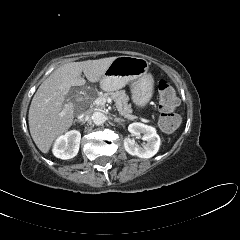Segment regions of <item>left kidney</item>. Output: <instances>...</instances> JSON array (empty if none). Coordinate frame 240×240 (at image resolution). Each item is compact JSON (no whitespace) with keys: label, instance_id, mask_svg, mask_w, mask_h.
I'll return each instance as SVG.
<instances>
[{"label":"left kidney","instance_id":"1","mask_svg":"<svg viewBox=\"0 0 240 240\" xmlns=\"http://www.w3.org/2000/svg\"><path fill=\"white\" fill-rule=\"evenodd\" d=\"M128 130L133 136L142 138L146 143L141 147L135 142L134 138H125L124 148L127 153L132 156L148 159L158 152L160 147V137L154 127L135 122L128 126Z\"/></svg>","mask_w":240,"mask_h":240}]
</instances>
